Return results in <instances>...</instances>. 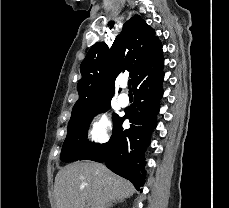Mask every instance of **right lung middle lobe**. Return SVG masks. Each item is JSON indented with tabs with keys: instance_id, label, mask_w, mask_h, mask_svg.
Here are the masks:
<instances>
[{
	"instance_id": "obj_1",
	"label": "right lung middle lobe",
	"mask_w": 229,
	"mask_h": 208,
	"mask_svg": "<svg viewBox=\"0 0 229 208\" xmlns=\"http://www.w3.org/2000/svg\"><path fill=\"white\" fill-rule=\"evenodd\" d=\"M110 109V101L103 102L96 106L90 113L85 116L72 118L68 123V134L64 141L61 160L64 162H73L79 160L84 154L90 151L96 144L87 140V132L91 120L100 112ZM120 120L117 114H113L114 126Z\"/></svg>"
}]
</instances>
